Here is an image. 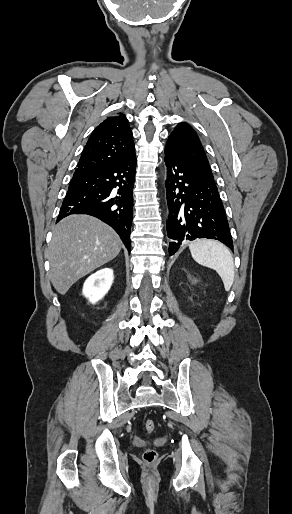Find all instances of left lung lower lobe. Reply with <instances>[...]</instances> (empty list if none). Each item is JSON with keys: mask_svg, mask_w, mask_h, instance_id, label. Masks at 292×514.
<instances>
[{"mask_svg": "<svg viewBox=\"0 0 292 514\" xmlns=\"http://www.w3.org/2000/svg\"><path fill=\"white\" fill-rule=\"evenodd\" d=\"M169 254L182 242L215 239L233 249V240L214 180L193 169L180 154L165 147Z\"/></svg>", "mask_w": 292, "mask_h": 514, "instance_id": "obj_1", "label": "left lung lower lobe"}]
</instances>
